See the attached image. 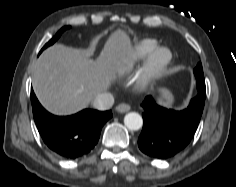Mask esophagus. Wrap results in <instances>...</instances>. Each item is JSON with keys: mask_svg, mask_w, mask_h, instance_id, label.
<instances>
[{"mask_svg": "<svg viewBox=\"0 0 236 187\" xmlns=\"http://www.w3.org/2000/svg\"><path fill=\"white\" fill-rule=\"evenodd\" d=\"M129 110H130V106L125 103H121L116 107V111L119 113H125V112H128Z\"/></svg>", "mask_w": 236, "mask_h": 187, "instance_id": "esophagus-1", "label": "esophagus"}]
</instances>
